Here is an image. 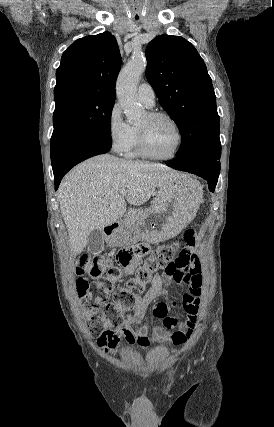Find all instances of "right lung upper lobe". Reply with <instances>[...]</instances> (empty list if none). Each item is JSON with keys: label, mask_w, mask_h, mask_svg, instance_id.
Instances as JSON below:
<instances>
[{"label": "right lung upper lobe", "mask_w": 274, "mask_h": 427, "mask_svg": "<svg viewBox=\"0 0 274 427\" xmlns=\"http://www.w3.org/2000/svg\"><path fill=\"white\" fill-rule=\"evenodd\" d=\"M121 63L116 38L110 32L76 40L65 50L56 70L55 104L74 97L116 96Z\"/></svg>", "instance_id": "right-lung-upper-lobe-1"}]
</instances>
